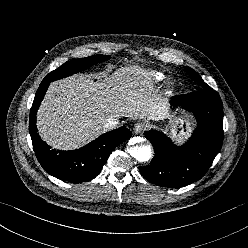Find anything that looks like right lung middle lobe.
<instances>
[{"mask_svg": "<svg viewBox=\"0 0 248 248\" xmlns=\"http://www.w3.org/2000/svg\"><path fill=\"white\" fill-rule=\"evenodd\" d=\"M110 56L109 55H94L86 58H80V59H75L71 60L56 70L50 72L44 79L43 81H55L57 79L65 78L70 75H73L75 73H78L80 71H83L85 69L90 68L94 64L100 63L102 61L109 60Z\"/></svg>", "mask_w": 248, "mask_h": 248, "instance_id": "right-lung-middle-lobe-1", "label": "right lung middle lobe"}]
</instances>
